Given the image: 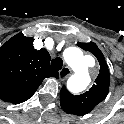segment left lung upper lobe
<instances>
[{
  "instance_id": "1",
  "label": "left lung upper lobe",
  "mask_w": 124,
  "mask_h": 124,
  "mask_svg": "<svg viewBox=\"0 0 124 124\" xmlns=\"http://www.w3.org/2000/svg\"><path fill=\"white\" fill-rule=\"evenodd\" d=\"M78 46L91 52L100 64V73L89 91L76 96L71 94L65 86L60 91L62 109L68 114L81 116L89 113L98 103L105 99L109 91L110 73L105 58L95 43L79 42Z\"/></svg>"
}]
</instances>
